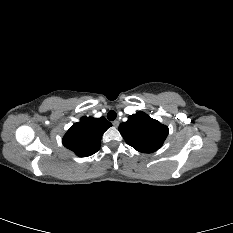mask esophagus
Returning <instances> with one entry per match:
<instances>
[{
	"mask_svg": "<svg viewBox=\"0 0 233 233\" xmlns=\"http://www.w3.org/2000/svg\"><path fill=\"white\" fill-rule=\"evenodd\" d=\"M113 126L114 127H118L119 126V121L118 120H115L112 122Z\"/></svg>",
	"mask_w": 233,
	"mask_h": 233,
	"instance_id": "obj_1",
	"label": "esophagus"
}]
</instances>
